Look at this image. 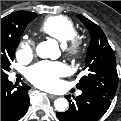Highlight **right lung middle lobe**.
Returning a JSON list of instances; mask_svg holds the SVG:
<instances>
[{"instance_id":"1","label":"right lung middle lobe","mask_w":121,"mask_h":121,"mask_svg":"<svg viewBox=\"0 0 121 121\" xmlns=\"http://www.w3.org/2000/svg\"><path fill=\"white\" fill-rule=\"evenodd\" d=\"M36 16L34 13L32 16L1 31V79L8 78L6 73L11 69L10 65L14 59V53L20 42V37L27 24L36 18Z\"/></svg>"}]
</instances>
